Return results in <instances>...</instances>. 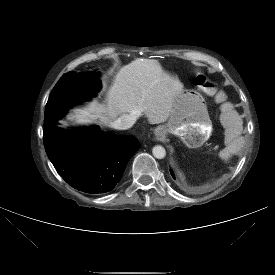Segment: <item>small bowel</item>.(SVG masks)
<instances>
[{
  "mask_svg": "<svg viewBox=\"0 0 275 275\" xmlns=\"http://www.w3.org/2000/svg\"><path fill=\"white\" fill-rule=\"evenodd\" d=\"M232 108L231 104L223 106L222 121L226 132L227 147L220 151L219 156L224 160H228L231 155L238 153L242 147L240 142L242 121Z\"/></svg>",
  "mask_w": 275,
  "mask_h": 275,
  "instance_id": "obj_1",
  "label": "small bowel"
}]
</instances>
